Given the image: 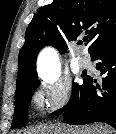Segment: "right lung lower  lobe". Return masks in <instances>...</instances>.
<instances>
[{
	"instance_id": "98d812e1",
	"label": "right lung lower lobe",
	"mask_w": 116,
	"mask_h": 134,
	"mask_svg": "<svg viewBox=\"0 0 116 134\" xmlns=\"http://www.w3.org/2000/svg\"><path fill=\"white\" fill-rule=\"evenodd\" d=\"M91 60L104 75L102 86L97 80L87 78L79 95L51 115L63 114L67 124L105 122L116 129V40L95 51Z\"/></svg>"
}]
</instances>
